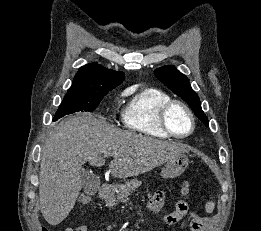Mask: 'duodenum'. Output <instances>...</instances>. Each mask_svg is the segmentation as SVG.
<instances>
[{"label": "duodenum", "instance_id": "duodenum-1", "mask_svg": "<svg viewBox=\"0 0 261 231\" xmlns=\"http://www.w3.org/2000/svg\"><path fill=\"white\" fill-rule=\"evenodd\" d=\"M112 192V187L109 185H102L98 191L101 199L106 198Z\"/></svg>", "mask_w": 261, "mask_h": 231}]
</instances>
